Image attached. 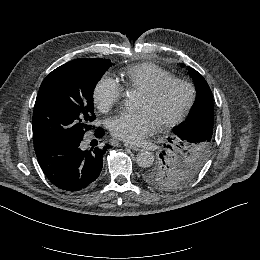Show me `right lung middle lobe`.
<instances>
[{"label": "right lung middle lobe", "instance_id": "obj_1", "mask_svg": "<svg viewBox=\"0 0 260 260\" xmlns=\"http://www.w3.org/2000/svg\"><path fill=\"white\" fill-rule=\"evenodd\" d=\"M110 60H73L42 82L33 112L34 148L66 139H83L95 119L93 91Z\"/></svg>", "mask_w": 260, "mask_h": 260}]
</instances>
